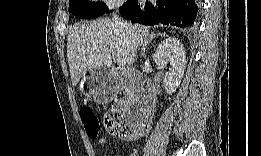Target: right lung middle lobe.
Segmentation results:
<instances>
[{
    "instance_id": "1",
    "label": "right lung middle lobe",
    "mask_w": 261,
    "mask_h": 156,
    "mask_svg": "<svg viewBox=\"0 0 261 156\" xmlns=\"http://www.w3.org/2000/svg\"><path fill=\"white\" fill-rule=\"evenodd\" d=\"M69 11L72 14H75L76 17L91 19L108 12V7L104 3L89 4L87 2H80L78 0H70Z\"/></svg>"
}]
</instances>
